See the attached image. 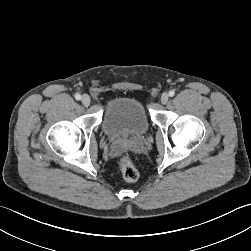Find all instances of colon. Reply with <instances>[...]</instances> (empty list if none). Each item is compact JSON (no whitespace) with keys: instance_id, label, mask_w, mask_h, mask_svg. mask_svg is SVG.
<instances>
[{"instance_id":"obj_1","label":"colon","mask_w":251,"mask_h":251,"mask_svg":"<svg viewBox=\"0 0 251 251\" xmlns=\"http://www.w3.org/2000/svg\"><path fill=\"white\" fill-rule=\"evenodd\" d=\"M119 168L126 182H135L138 179V170L131 156L124 155L120 160Z\"/></svg>"}]
</instances>
